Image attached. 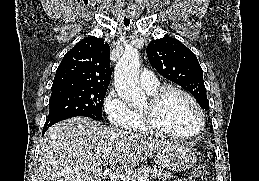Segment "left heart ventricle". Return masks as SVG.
<instances>
[{
  "instance_id": "left-heart-ventricle-1",
  "label": "left heart ventricle",
  "mask_w": 259,
  "mask_h": 181,
  "mask_svg": "<svg viewBox=\"0 0 259 181\" xmlns=\"http://www.w3.org/2000/svg\"><path fill=\"white\" fill-rule=\"evenodd\" d=\"M148 103L144 107H147ZM158 121L162 127L179 134H190L199 127V116L192 103L183 95L170 94L163 102Z\"/></svg>"
}]
</instances>
